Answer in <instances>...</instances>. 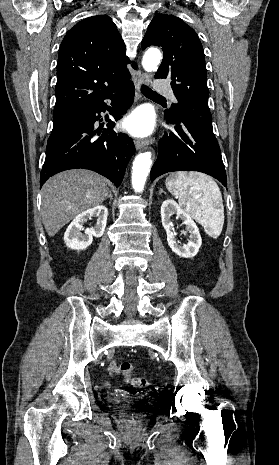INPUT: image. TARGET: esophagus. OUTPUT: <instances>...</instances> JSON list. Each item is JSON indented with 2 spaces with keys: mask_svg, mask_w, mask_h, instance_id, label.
<instances>
[{
  "mask_svg": "<svg viewBox=\"0 0 279 465\" xmlns=\"http://www.w3.org/2000/svg\"><path fill=\"white\" fill-rule=\"evenodd\" d=\"M150 82V75L148 73H143L138 80L137 88L139 89V86L141 84H149ZM153 143V139H146V140H136L135 146L136 149L140 150L143 147Z\"/></svg>",
  "mask_w": 279,
  "mask_h": 465,
  "instance_id": "34e87169",
  "label": "esophagus"
}]
</instances>
